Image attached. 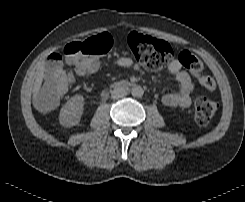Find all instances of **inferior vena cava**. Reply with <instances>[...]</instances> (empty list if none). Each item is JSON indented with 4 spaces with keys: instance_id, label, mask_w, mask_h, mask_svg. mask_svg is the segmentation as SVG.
Returning <instances> with one entry per match:
<instances>
[{
    "instance_id": "inferior-vena-cava-1",
    "label": "inferior vena cava",
    "mask_w": 245,
    "mask_h": 202,
    "mask_svg": "<svg viewBox=\"0 0 245 202\" xmlns=\"http://www.w3.org/2000/svg\"><path fill=\"white\" fill-rule=\"evenodd\" d=\"M127 95V91L124 88H115L112 92H111V98L112 99H119V98H123Z\"/></svg>"
}]
</instances>
